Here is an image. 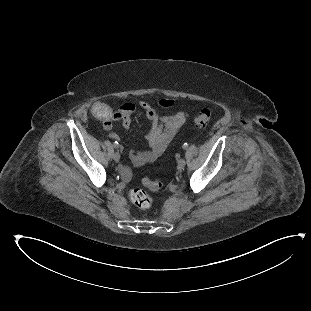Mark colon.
<instances>
[{"mask_svg": "<svg viewBox=\"0 0 311 311\" xmlns=\"http://www.w3.org/2000/svg\"><path fill=\"white\" fill-rule=\"evenodd\" d=\"M91 115L104 124H109L113 118V111L109 105L97 102L90 108ZM212 118V113L209 109L200 110L194 118V124L198 128H204L208 126ZM143 184L151 190H159L164 186V183L160 180L145 179ZM129 197L133 204L141 210H146L151 206V199L142 189L134 188L130 190Z\"/></svg>", "mask_w": 311, "mask_h": 311, "instance_id": "1", "label": "colon"}]
</instances>
